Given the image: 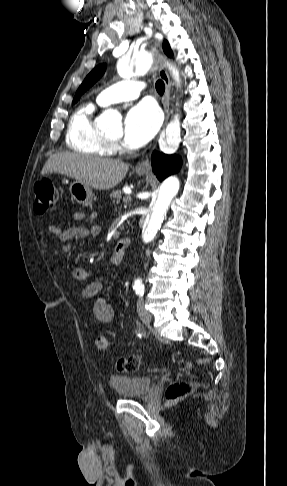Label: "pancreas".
<instances>
[{
    "mask_svg": "<svg viewBox=\"0 0 287 486\" xmlns=\"http://www.w3.org/2000/svg\"><path fill=\"white\" fill-rule=\"evenodd\" d=\"M110 198L113 199V202L115 201H120V198H121V190H116V191H113L111 194H110Z\"/></svg>",
    "mask_w": 287,
    "mask_h": 486,
    "instance_id": "pancreas-1",
    "label": "pancreas"
}]
</instances>
